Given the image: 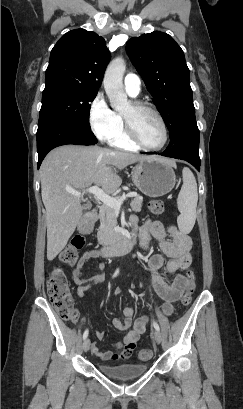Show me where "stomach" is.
<instances>
[{
	"label": "stomach",
	"mask_w": 243,
	"mask_h": 409,
	"mask_svg": "<svg viewBox=\"0 0 243 409\" xmlns=\"http://www.w3.org/2000/svg\"><path fill=\"white\" fill-rule=\"evenodd\" d=\"M132 181L146 196H164L176 184L173 163L161 157L144 159L133 167Z\"/></svg>",
	"instance_id": "0dacf381"
}]
</instances>
